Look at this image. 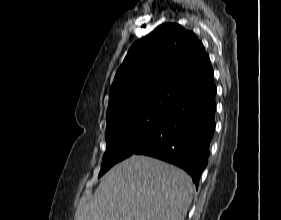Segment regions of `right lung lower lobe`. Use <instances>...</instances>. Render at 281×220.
Instances as JSON below:
<instances>
[{
  "label": "right lung lower lobe",
  "mask_w": 281,
  "mask_h": 220,
  "mask_svg": "<svg viewBox=\"0 0 281 220\" xmlns=\"http://www.w3.org/2000/svg\"><path fill=\"white\" fill-rule=\"evenodd\" d=\"M216 86L180 100L162 126L133 154L147 155L184 169L198 188L215 130Z\"/></svg>",
  "instance_id": "right-lung-lower-lobe-1"
}]
</instances>
